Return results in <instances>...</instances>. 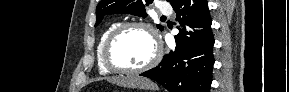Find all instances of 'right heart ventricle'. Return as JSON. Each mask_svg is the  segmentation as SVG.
Segmentation results:
<instances>
[{"mask_svg": "<svg viewBox=\"0 0 289 92\" xmlns=\"http://www.w3.org/2000/svg\"><path fill=\"white\" fill-rule=\"evenodd\" d=\"M119 22H113L111 24H109L105 30L102 32L98 44H97V48H96V58H97V66H98V70L99 73L102 75H108L111 74L112 71H110L109 69L106 68V66L104 65L103 62V57H102V53H103V47L105 44L106 39L108 38L109 34L119 25Z\"/></svg>", "mask_w": 289, "mask_h": 92, "instance_id": "e07e8e85", "label": "right heart ventricle"}]
</instances>
